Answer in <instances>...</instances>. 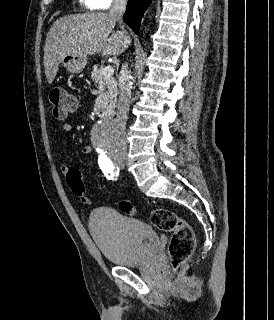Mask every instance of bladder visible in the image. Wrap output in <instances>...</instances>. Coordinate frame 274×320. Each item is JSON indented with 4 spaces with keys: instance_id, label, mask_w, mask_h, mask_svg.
I'll list each match as a JSON object with an SVG mask.
<instances>
[{
    "instance_id": "31cf9c89",
    "label": "bladder",
    "mask_w": 274,
    "mask_h": 320,
    "mask_svg": "<svg viewBox=\"0 0 274 320\" xmlns=\"http://www.w3.org/2000/svg\"><path fill=\"white\" fill-rule=\"evenodd\" d=\"M88 229L102 256L118 266L142 265L159 247V237L151 226L112 208L95 209Z\"/></svg>"
}]
</instances>
